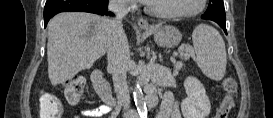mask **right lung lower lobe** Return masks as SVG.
Masks as SVG:
<instances>
[{
	"label": "right lung lower lobe",
	"instance_id": "right-lung-lower-lobe-1",
	"mask_svg": "<svg viewBox=\"0 0 273 118\" xmlns=\"http://www.w3.org/2000/svg\"><path fill=\"white\" fill-rule=\"evenodd\" d=\"M108 0H47L44 8V25L55 14L67 11L90 12L98 15H112L107 9Z\"/></svg>",
	"mask_w": 273,
	"mask_h": 118
}]
</instances>
